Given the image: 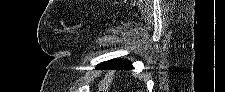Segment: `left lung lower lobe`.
I'll return each mask as SVG.
<instances>
[{"label": "left lung lower lobe", "instance_id": "0a47b994", "mask_svg": "<svg viewBox=\"0 0 225 92\" xmlns=\"http://www.w3.org/2000/svg\"><path fill=\"white\" fill-rule=\"evenodd\" d=\"M97 68L102 70H109V69L126 70V69H133V66L127 60L113 59L101 63Z\"/></svg>", "mask_w": 225, "mask_h": 92}]
</instances>
